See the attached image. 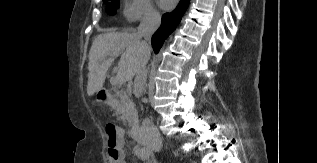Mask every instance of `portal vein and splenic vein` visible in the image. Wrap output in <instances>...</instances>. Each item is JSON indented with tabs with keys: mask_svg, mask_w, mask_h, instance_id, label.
<instances>
[{
	"mask_svg": "<svg viewBox=\"0 0 317 163\" xmlns=\"http://www.w3.org/2000/svg\"><path fill=\"white\" fill-rule=\"evenodd\" d=\"M121 82V76L117 73L116 76L110 78V83L112 85L118 84Z\"/></svg>",
	"mask_w": 317,
	"mask_h": 163,
	"instance_id": "1",
	"label": "portal vein and splenic vein"
}]
</instances>
